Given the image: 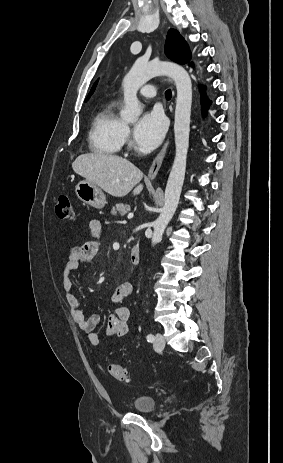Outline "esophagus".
<instances>
[{
	"instance_id": "obj_1",
	"label": "esophagus",
	"mask_w": 283,
	"mask_h": 463,
	"mask_svg": "<svg viewBox=\"0 0 283 463\" xmlns=\"http://www.w3.org/2000/svg\"><path fill=\"white\" fill-rule=\"evenodd\" d=\"M169 140L170 138L168 137L164 146L162 147L161 151L159 152V154L156 156V158L154 159L150 169H149V172H148V178L149 179H154L161 167V164H162V161L165 157V154H166V150H167V147H168V144H169Z\"/></svg>"
}]
</instances>
